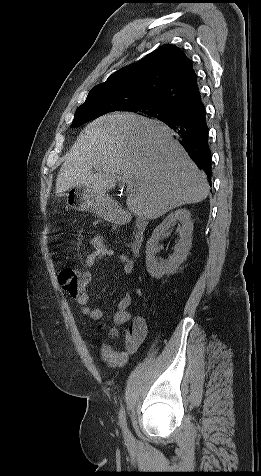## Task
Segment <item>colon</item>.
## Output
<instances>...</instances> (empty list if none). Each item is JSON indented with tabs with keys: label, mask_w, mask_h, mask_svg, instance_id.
Masks as SVG:
<instances>
[{
	"label": "colon",
	"mask_w": 261,
	"mask_h": 476,
	"mask_svg": "<svg viewBox=\"0 0 261 476\" xmlns=\"http://www.w3.org/2000/svg\"><path fill=\"white\" fill-rule=\"evenodd\" d=\"M59 283L70 294L76 293L86 282L87 278L73 267H63L59 271Z\"/></svg>",
	"instance_id": "5ec220e1"
}]
</instances>
